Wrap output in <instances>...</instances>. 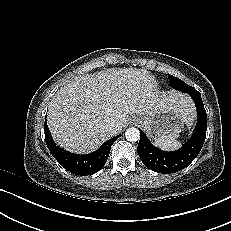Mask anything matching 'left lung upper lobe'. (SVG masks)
Masks as SVG:
<instances>
[{"mask_svg":"<svg viewBox=\"0 0 231 231\" xmlns=\"http://www.w3.org/2000/svg\"><path fill=\"white\" fill-rule=\"evenodd\" d=\"M168 79H169L170 85L176 90H179V91H182L188 94L198 92L195 88L187 85L185 82H183L182 80L172 75H168Z\"/></svg>","mask_w":231,"mask_h":231,"instance_id":"1","label":"left lung upper lobe"}]
</instances>
